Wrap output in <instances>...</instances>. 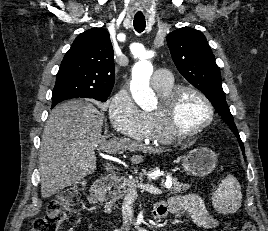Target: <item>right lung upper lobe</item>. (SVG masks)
Instances as JSON below:
<instances>
[{
  "instance_id": "cb5924a9",
  "label": "right lung upper lobe",
  "mask_w": 268,
  "mask_h": 231,
  "mask_svg": "<svg viewBox=\"0 0 268 231\" xmlns=\"http://www.w3.org/2000/svg\"><path fill=\"white\" fill-rule=\"evenodd\" d=\"M113 47L103 28L89 29L76 37L65 54L55 89L66 94L52 105L71 98L109 96L115 82Z\"/></svg>"
}]
</instances>
